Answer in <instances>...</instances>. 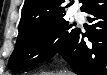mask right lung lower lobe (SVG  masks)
Instances as JSON below:
<instances>
[{"label": "right lung lower lobe", "instance_id": "obj_1", "mask_svg": "<svg viewBox=\"0 0 107 75\" xmlns=\"http://www.w3.org/2000/svg\"><path fill=\"white\" fill-rule=\"evenodd\" d=\"M81 11L89 14L88 20L94 24L86 33L79 28L57 54L78 75H107V0H85ZM84 37L89 42H84Z\"/></svg>", "mask_w": 107, "mask_h": 75}]
</instances>
